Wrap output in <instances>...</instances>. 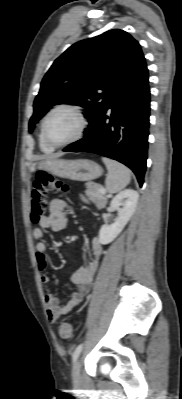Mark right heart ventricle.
<instances>
[{"label":"right heart ventricle","instance_id":"1","mask_svg":"<svg viewBox=\"0 0 182 399\" xmlns=\"http://www.w3.org/2000/svg\"><path fill=\"white\" fill-rule=\"evenodd\" d=\"M39 144H40V148H41L42 151H44V152H51V151H53V149H54L53 147L49 146V145L44 141L41 132H40V135H39Z\"/></svg>","mask_w":182,"mask_h":399}]
</instances>
